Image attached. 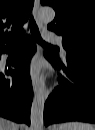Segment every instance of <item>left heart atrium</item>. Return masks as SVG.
Here are the masks:
<instances>
[{
	"label": "left heart atrium",
	"instance_id": "39dd6f15",
	"mask_svg": "<svg viewBox=\"0 0 95 130\" xmlns=\"http://www.w3.org/2000/svg\"><path fill=\"white\" fill-rule=\"evenodd\" d=\"M40 63L37 59L32 60L31 64H30V71L34 76H37V74L40 71Z\"/></svg>",
	"mask_w": 95,
	"mask_h": 130
}]
</instances>
